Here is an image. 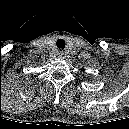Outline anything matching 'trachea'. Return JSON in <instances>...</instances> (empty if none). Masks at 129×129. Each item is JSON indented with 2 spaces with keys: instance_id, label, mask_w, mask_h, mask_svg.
<instances>
[{
  "instance_id": "trachea-1",
  "label": "trachea",
  "mask_w": 129,
  "mask_h": 129,
  "mask_svg": "<svg viewBox=\"0 0 129 129\" xmlns=\"http://www.w3.org/2000/svg\"><path fill=\"white\" fill-rule=\"evenodd\" d=\"M56 46L59 49H64L65 48V40L64 39H58L56 42Z\"/></svg>"
}]
</instances>
